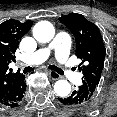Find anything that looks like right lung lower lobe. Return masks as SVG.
I'll use <instances>...</instances> for the list:
<instances>
[{
    "instance_id": "obj_1",
    "label": "right lung lower lobe",
    "mask_w": 117,
    "mask_h": 117,
    "mask_svg": "<svg viewBox=\"0 0 117 117\" xmlns=\"http://www.w3.org/2000/svg\"><path fill=\"white\" fill-rule=\"evenodd\" d=\"M26 90V84L24 82V76L15 80L9 87L6 94L1 97L0 105L6 107H16L21 102L24 92Z\"/></svg>"
}]
</instances>
